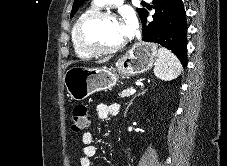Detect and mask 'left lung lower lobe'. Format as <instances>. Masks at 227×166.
Wrapping results in <instances>:
<instances>
[{"label": "left lung lower lobe", "mask_w": 227, "mask_h": 166, "mask_svg": "<svg viewBox=\"0 0 227 166\" xmlns=\"http://www.w3.org/2000/svg\"><path fill=\"white\" fill-rule=\"evenodd\" d=\"M156 9L154 20L147 24V11L142 21V39L147 42L159 43L180 59L182 65H187L186 32L187 22L182 0H153ZM162 8V15L160 9Z\"/></svg>", "instance_id": "1"}]
</instances>
